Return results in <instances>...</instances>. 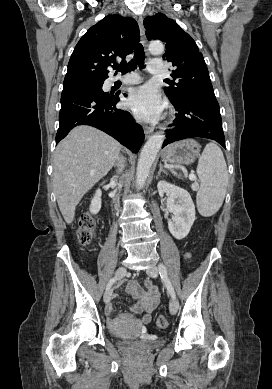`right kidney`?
<instances>
[{
  "label": "right kidney",
  "instance_id": "obj_1",
  "mask_svg": "<svg viewBox=\"0 0 272 389\" xmlns=\"http://www.w3.org/2000/svg\"><path fill=\"white\" fill-rule=\"evenodd\" d=\"M101 190L98 189L91 201V205H90V212L92 214H97L100 209H101Z\"/></svg>",
  "mask_w": 272,
  "mask_h": 389
}]
</instances>
